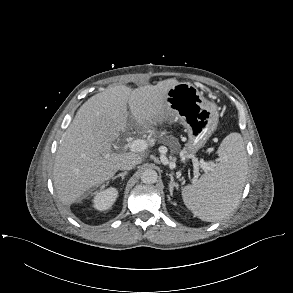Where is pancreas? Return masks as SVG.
Returning a JSON list of instances; mask_svg holds the SVG:
<instances>
[{
    "instance_id": "cf45deb5",
    "label": "pancreas",
    "mask_w": 293,
    "mask_h": 293,
    "mask_svg": "<svg viewBox=\"0 0 293 293\" xmlns=\"http://www.w3.org/2000/svg\"><path fill=\"white\" fill-rule=\"evenodd\" d=\"M179 148H180V145H179V143H177V146L172 147V151L176 152L177 150H179Z\"/></svg>"
}]
</instances>
